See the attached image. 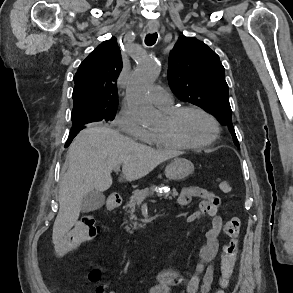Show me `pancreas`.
I'll use <instances>...</instances> for the list:
<instances>
[{
  "mask_svg": "<svg viewBox=\"0 0 293 293\" xmlns=\"http://www.w3.org/2000/svg\"><path fill=\"white\" fill-rule=\"evenodd\" d=\"M154 192H155L154 187L144 188L142 190L137 189V190L133 191L132 196L129 198V201L126 204V208L128 209L127 213L130 214V220H133V219L137 220V217L134 215V212H135L136 203L139 201L138 197L141 195H147V194L153 195ZM157 195L159 197H163L165 199H172L178 195V192L176 191V189H173L172 191L158 193ZM133 224H134V226H137L136 222ZM126 228H127V230H129V227H126ZM130 233H132V231H130Z\"/></svg>",
  "mask_w": 293,
  "mask_h": 293,
  "instance_id": "1",
  "label": "pancreas"
}]
</instances>
